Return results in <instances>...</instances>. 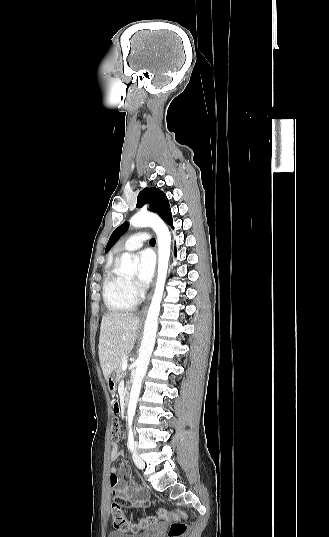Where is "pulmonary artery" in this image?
Wrapping results in <instances>:
<instances>
[{"label": "pulmonary artery", "instance_id": "pulmonary-artery-1", "mask_svg": "<svg viewBox=\"0 0 329 537\" xmlns=\"http://www.w3.org/2000/svg\"><path fill=\"white\" fill-rule=\"evenodd\" d=\"M148 234L144 232L136 233L130 236L122 245L120 251H134L140 249L147 241Z\"/></svg>", "mask_w": 329, "mask_h": 537}]
</instances>
